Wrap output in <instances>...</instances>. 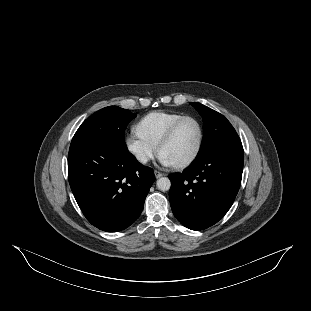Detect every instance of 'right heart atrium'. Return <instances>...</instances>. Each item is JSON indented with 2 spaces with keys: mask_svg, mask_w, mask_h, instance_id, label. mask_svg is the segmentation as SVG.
I'll return each instance as SVG.
<instances>
[{
  "mask_svg": "<svg viewBox=\"0 0 311 311\" xmlns=\"http://www.w3.org/2000/svg\"><path fill=\"white\" fill-rule=\"evenodd\" d=\"M124 144L129 155L141 166L147 165L157 155V148L146 143L135 131L126 135Z\"/></svg>",
  "mask_w": 311,
  "mask_h": 311,
  "instance_id": "1",
  "label": "right heart atrium"
}]
</instances>
